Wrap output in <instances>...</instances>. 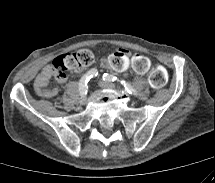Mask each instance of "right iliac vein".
Masks as SVG:
<instances>
[{
  "label": "right iliac vein",
  "instance_id": "right-iliac-vein-1",
  "mask_svg": "<svg viewBox=\"0 0 215 183\" xmlns=\"http://www.w3.org/2000/svg\"><path fill=\"white\" fill-rule=\"evenodd\" d=\"M86 99H87L86 95H82V96L80 97V104H85Z\"/></svg>",
  "mask_w": 215,
  "mask_h": 183
}]
</instances>
